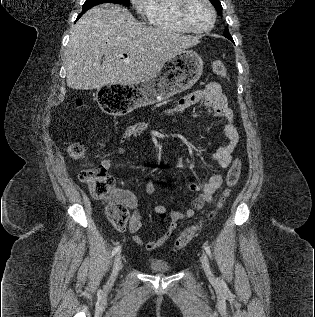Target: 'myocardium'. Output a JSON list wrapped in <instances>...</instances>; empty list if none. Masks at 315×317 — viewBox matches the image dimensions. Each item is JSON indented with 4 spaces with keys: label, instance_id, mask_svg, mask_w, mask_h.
Wrapping results in <instances>:
<instances>
[{
    "label": "myocardium",
    "instance_id": "f54148a6",
    "mask_svg": "<svg viewBox=\"0 0 315 317\" xmlns=\"http://www.w3.org/2000/svg\"><path fill=\"white\" fill-rule=\"evenodd\" d=\"M192 0H178L177 4H176V17L177 20L179 21V23L188 31L193 32V33H206L209 32L214 24H215V20H216V12L215 9L212 5V3L210 2V0H202L208 7L210 14H211V21L208 27L206 28H202V29H198L193 27L187 20L186 17V11L188 8V5L191 3Z\"/></svg>",
    "mask_w": 315,
    "mask_h": 317
}]
</instances>
